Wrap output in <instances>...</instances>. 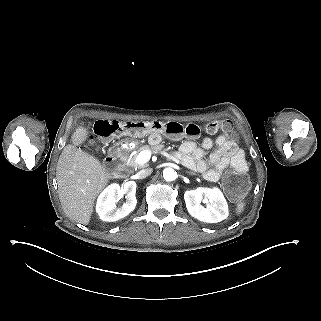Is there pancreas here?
Masks as SVG:
<instances>
[{
  "mask_svg": "<svg viewBox=\"0 0 321 321\" xmlns=\"http://www.w3.org/2000/svg\"><path fill=\"white\" fill-rule=\"evenodd\" d=\"M136 150L138 152H141L143 150H147V151H153L155 153L159 152V151H165L166 148L164 145L160 144V145H157V146H149V145H137L136 146ZM129 165L133 168H141L142 166L139 165V164H136L135 163V157L129 159L128 161Z\"/></svg>",
  "mask_w": 321,
  "mask_h": 321,
  "instance_id": "1",
  "label": "pancreas"
}]
</instances>
